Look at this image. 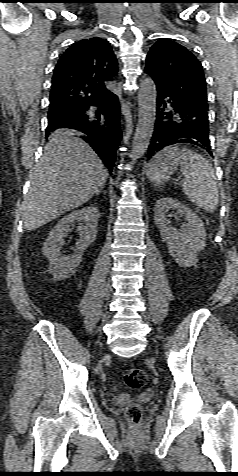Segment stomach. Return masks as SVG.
Masks as SVG:
<instances>
[{"instance_id": "0dacf381", "label": "stomach", "mask_w": 238, "mask_h": 476, "mask_svg": "<svg viewBox=\"0 0 238 476\" xmlns=\"http://www.w3.org/2000/svg\"><path fill=\"white\" fill-rule=\"evenodd\" d=\"M181 159L176 147H167L156 154L147 166V176L155 184L167 182L176 171Z\"/></svg>"}]
</instances>
